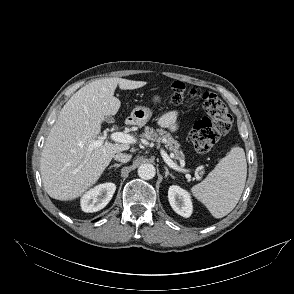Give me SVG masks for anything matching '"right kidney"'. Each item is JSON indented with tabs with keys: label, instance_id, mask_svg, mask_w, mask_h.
I'll return each mask as SVG.
<instances>
[{
	"label": "right kidney",
	"instance_id": "obj_1",
	"mask_svg": "<svg viewBox=\"0 0 294 294\" xmlns=\"http://www.w3.org/2000/svg\"><path fill=\"white\" fill-rule=\"evenodd\" d=\"M114 183H103L87 191L81 198V208L84 212H97L103 209L115 193Z\"/></svg>",
	"mask_w": 294,
	"mask_h": 294
}]
</instances>
